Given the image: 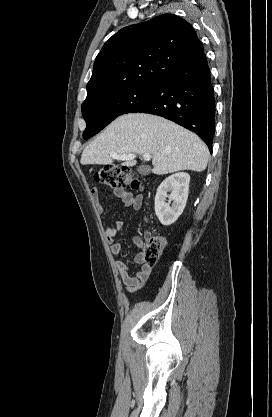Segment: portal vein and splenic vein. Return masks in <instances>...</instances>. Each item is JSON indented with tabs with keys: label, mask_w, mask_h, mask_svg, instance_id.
Wrapping results in <instances>:
<instances>
[{
	"label": "portal vein and splenic vein",
	"mask_w": 272,
	"mask_h": 417,
	"mask_svg": "<svg viewBox=\"0 0 272 417\" xmlns=\"http://www.w3.org/2000/svg\"><path fill=\"white\" fill-rule=\"evenodd\" d=\"M110 156L113 159H117V160H132V159H134L136 157L135 154H118V153H116L114 151H111L110 152ZM143 157H144V160L149 161L152 156H151L150 153H145L143 155Z\"/></svg>",
	"instance_id": "obj_1"
}]
</instances>
